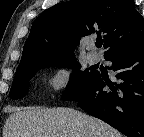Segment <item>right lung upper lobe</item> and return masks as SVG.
<instances>
[{"instance_id": "obj_1", "label": "right lung upper lobe", "mask_w": 144, "mask_h": 137, "mask_svg": "<svg viewBox=\"0 0 144 137\" xmlns=\"http://www.w3.org/2000/svg\"><path fill=\"white\" fill-rule=\"evenodd\" d=\"M103 36L104 57L144 39V18L133 0H70L43 11L33 22L20 65L74 56L82 37Z\"/></svg>"}]
</instances>
